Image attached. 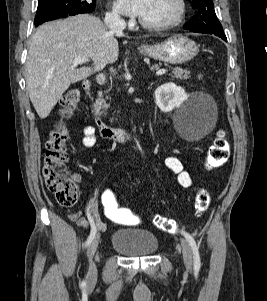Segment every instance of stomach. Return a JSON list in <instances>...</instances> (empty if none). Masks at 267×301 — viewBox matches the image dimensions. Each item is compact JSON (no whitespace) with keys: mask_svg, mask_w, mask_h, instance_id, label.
Listing matches in <instances>:
<instances>
[{"mask_svg":"<svg viewBox=\"0 0 267 301\" xmlns=\"http://www.w3.org/2000/svg\"><path fill=\"white\" fill-rule=\"evenodd\" d=\"M142 55L171 64H182L193 59L199 52L198 45L191 39L177 35L156 45L139 47Z\"/></svg>","mask_w":267,"mask_h":301,"instance_id":"obj_1","label":"stomach"}]
</instances>
